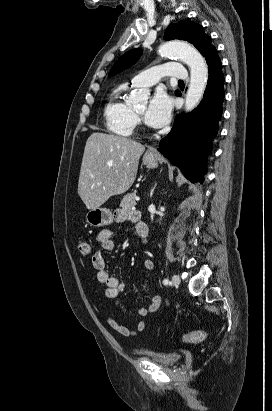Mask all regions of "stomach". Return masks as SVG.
<instances>
[{
  "mask_svg": "<svg viewBox=\"0 0 272 411\" xmlns=\"http://www.w3.org/2000/svg\"><path fill=\"white\" fill-rule=\"evenodd\" d=\"M158 162L159 157L152 152H146L143 156V163L149 168L158 167ZM86 220L93 227H102L113 222V215L109 209L98 207L89 210L86 214Z\"/></svg>",
  "mask_w": 272,
  "mask_h": 411,
  "instance_id": "stomach-1",
  "label": "stomach"
}]
</instances>
